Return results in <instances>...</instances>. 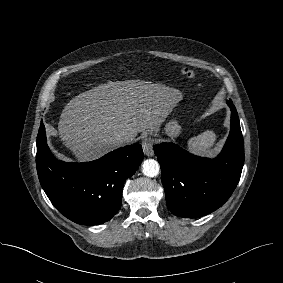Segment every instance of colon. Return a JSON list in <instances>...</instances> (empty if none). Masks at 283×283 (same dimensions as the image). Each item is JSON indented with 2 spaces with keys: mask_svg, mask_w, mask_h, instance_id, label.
Here are the masks:
<instances>
[{
  "mask_svg": "<svg viewBox=\"0 0 283 283\" xmlns=\"http://www.w3.org/2000/svg\"><path fill=\"white\" fill-rule=\"evenodd\" d=\"M181 73L183 74V76H185L188 79H192L195 76L194 72L188 68H183L181 70Z\"/></svg>",
  "mask_w": 283,
  "mask_h": 283,
  "instance_id": "5ec220e1",
  "label": "colon"
}]
</instances>
